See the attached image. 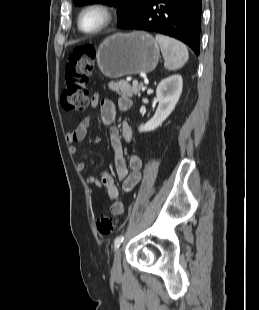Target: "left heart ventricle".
Listing matches in <instances>:
<instances>
[{
	"label": "left heart ventricle",
	"mask_w": 259,
	"mask_h": 310,
	"mask_svg": "<svg viewBox=\"0 0 259 310\" xmlns=\"http://www.w3.org/2000/svg\"><path fill=\"white\" fill-rule=\"evenodd\" d=\"M103 21V15L97 10L87 12L82 19V25L86 30L95 29Z\"/></svg>",
	"instance_id": "left-heart-ventricle-1"
}]
</instances>
